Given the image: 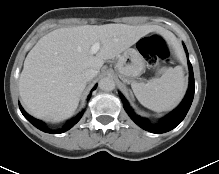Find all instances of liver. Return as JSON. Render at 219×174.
<instances>
[{"mask_svg": "<svg viewBox=\"0 0 219 174\" xmlns=\"http://www.w3.org/2000/svg\"><path fill=\"white\" fill-rule=\"evenodd\" d=\"M171 33L156 26L126 24L84 25L56 29L39 39L28 53L19 78V94L29 112L40 119L59 122L78 107L86 69L100 71L150 32ZM100 44L96 55L94 43Z\"/></svg>", "mask_w": 219, "mask_h": 174, "instance_id": "6515ba94", "label": "liver"}]
</instances>
